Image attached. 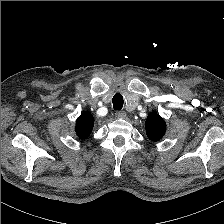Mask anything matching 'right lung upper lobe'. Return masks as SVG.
<instances>
[{
    "label": "right lung upper lobe",
    "mask_w": 224,
    "mask_h": 224,
    "mask_svg": "<svg viewBox=\"0 0 224 224\" xmlns=\"http://www.w3.org/2000/svg\"><path fill=\"white\" fill-rule=\"evenodd\" d=\"M94 117L89 112H83L76 121V134L80 139H87L93 129Z\"/></svg>",
    "instance_id": "1"
}]
</instances>
